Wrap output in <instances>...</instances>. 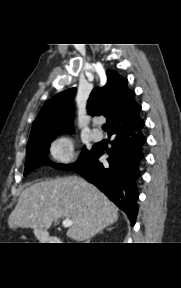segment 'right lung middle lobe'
<instances>
[{"instance_id": "1", "label": "right lung middle lobe", "mask_w": 181, "mask_h": 288, "mask_svg": "<svg viewBox=\"0 0 181 288\" xmlns=\"http://www.w3.org/2000/svg\"><path fill=\"white\" fill-rule=\"evenodd\" d=\"M58 133L57 131L43 133L37 137L30 139L27 144V154L25 162L24 176L29 174L35 168L43 164H52L47 157V153L50 147V143L53 140V135ZM94 148L86 149L83 148L82 153L78 161L70 165H58L52 164L56 168L70 170L75 166L83 162L93 152Z\"/></svg>"}]
</instances>
